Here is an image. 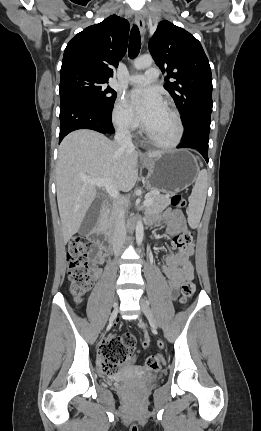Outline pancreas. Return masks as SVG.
<instances>
[{"label":"pancreas","instance_id":"pancreas-1","mask_svg":"<svg viewBox=\"0 0 261 431\" xmlns=\"http://www.w3.org/2000/svg\"><path fill=\"white\" fill-rule=\"evenodd\" d=\"M171 195L167 194H152L149 195L148 198L152 199V204L148 206L146 209L147 213L160 212L163 211L167 206L170 205ZM108 225L111 226L113 224V215L109 214L107 218Z\"/></svg>","mask_w":261,"mask_h":431}]
</instances>
